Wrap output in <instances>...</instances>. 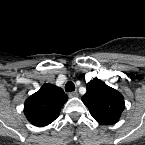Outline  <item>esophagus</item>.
Listing matches in <instances>:
<instances>
[{
	"mask_svg": "<svg viewBox=\"0 0 145 145\" xmlns=\"http://www.w3.org/2000/svg\"><path fill=\"white\" fill-rule=\"evenodd\" d=\"M69 97L74 98V97H78V92L77 91H72L69 94Z\"/></svg>",
	"mask_w": 145,
	"mask_h": 145,
	"instance_id": "esophagus-1",
	"label": "esophagus"
}]
</instances>
